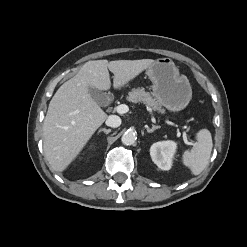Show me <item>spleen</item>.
I'll return each instance as SVG.
<instances>
[{
    "label": "spleen",
    "mask_w": 247,
    "mask_h": 247,
    "mask_svg": "<svg viewBox=\"0 0 247 247\" xmlns=\"http://www.w3.org/2000/svg\"><path fill=\"white\" fill-rule=\"evenodd\" d=\"M195 146L183 154V164L187 166L193 175L200 174L207 166L210 159L213 143L208 129H201L196 134Z\"/></svg>",
    "instance_id": "1"
}]
</instances>
